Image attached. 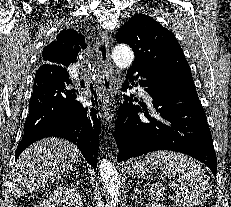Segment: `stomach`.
<instances>
[{
	"label": "stomach",
	"mask_w": 231,
	"mask_h": 207,
	"mask_svg": "<svg viewBox=\"0 0 231 207\" xmlns=\"http://www.w3.org/2000/svg\"><path fill=\"white\" fill-rule=\"evenodd\" d=\"M151 170V166L146 161L133 160L128 165L129 175H131L134 178L144 179L150 175Z\"/></svg>",
	"instance_id": "1"
}]
</instances>
